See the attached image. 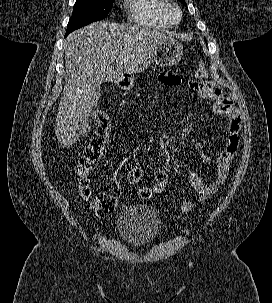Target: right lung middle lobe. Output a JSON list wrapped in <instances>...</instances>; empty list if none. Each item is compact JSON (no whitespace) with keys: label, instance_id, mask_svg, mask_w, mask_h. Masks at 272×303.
Instances as JSON below:
<instances>
[{"label":"right lung middle lobe","instance_id":"right-lung-middle-lobe-1","mask_svg":"<svg viewBox=\"0 0 272 303\" xmlns=\"http://www.w3.org/2000/svg\"><path fill=\"white\" fill-rule=\"evenodd\" d=\"M113 2L114 0H77L65 36L78 28L106 18Z\"/></svg>","mask_w":272,"mask_h":303}]
</instances>
